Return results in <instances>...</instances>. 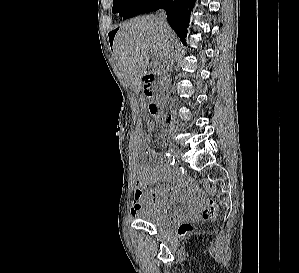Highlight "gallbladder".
Here are the masks:
<instances>
[{"label":"gallbladder","instance_id":"bac80fb5","mask_svg":"<svg viewBox=\"0 0 299 273\" xmlns=\"http://www.w3.org/2000/svg\"><path fill=\"white\" fill-rule=\"evenodd\" d=\"M148 70L150 71H154L155 70V65L154 64H150L149 67H148Z\"/></svg>","mask_w":299,"mask_h":273}]
</instances>
